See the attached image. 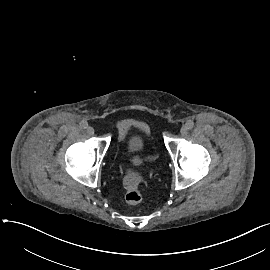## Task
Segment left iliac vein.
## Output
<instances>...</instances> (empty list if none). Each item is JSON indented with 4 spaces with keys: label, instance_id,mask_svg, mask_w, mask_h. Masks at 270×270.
<instances>
[{
    "label": "left iliac vein",
    "instance_id": "1",
    "mask_svg": "<svg viewBox=\"0 0 270 270\" xmlns=\"http://www.w3.org/2000/svg\"><path fill=\"white\" fill-rule=\"evenodd\" d=\"M187 132H188V130H187V127H186V126H182V127L180 128V134H181L182 136H185V135L187 134Z\"/></svg>",
    "mask_w": 270,
    "mask_h": 270
}]
</instances>
